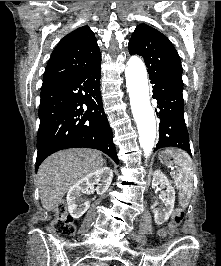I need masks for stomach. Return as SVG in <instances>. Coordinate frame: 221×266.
Wrapping results in <instances>:
<instances>
[{
  "label": "stomach",
  "mask_w": 221,
  "mask_h": 266,
  "mask_svg": "<svg viewBox=\"0 0 221 266\" xmlns=\"http://www.w3.org/2000/svg\"><path fill=\"white\" fill-rule=\"evenodd\" d=\"M172 155L169 154L166 150L165 151H162L160 154H159V160L167 165V166H177V163L175 160L172 159Z\"/></svg>",
  "instance_id": "0dacf381"
}]
</instances>
